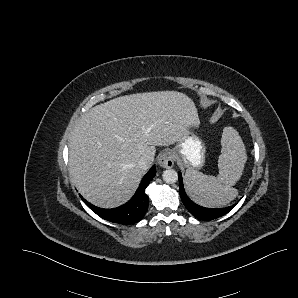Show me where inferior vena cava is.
Instances as JSON below:
<instances>
[{
	"instance_id": "inferior-vena-cava-1",
	"label": "inferior vena cava",
	"mask_w": 298,
	"mask_h": 298,
	"mask_svg": "<svg viewBox=\"0 0 298 298\" xmlns=\"http://www.w3.org/2000/svg\"><path fill=\"white\" fill-rule=\"evenodd\" d=\"M151 162L149 161V159L147 157H141L139 162H138V166L140 168H142L143 170H147L148 168L151 167Z\"/></svg>"
}]
</instances>
